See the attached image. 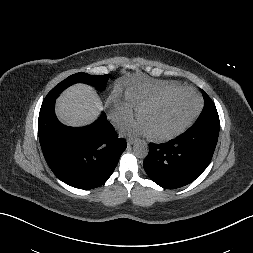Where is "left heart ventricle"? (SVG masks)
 Here are the masks:
<instances>
[{
    "label": "left heart ventricle",
    "mask_w": 253,
    "mask_h": 253,
    "mask_svg": "<svg viewBox=\"0 0 253 253\" xmlns=\"http://www.w3.org/2000/svg\"><path fill=\"white\" fill-rule=\"evenodd\" d=\"M196 104L197 99L194 94L183 92L164 104L146 111L140 120L149 133L167 134L180 126L192 114Z\"/></svg>",
    "instance_id": "b2bd125f"
}]
</instances>
